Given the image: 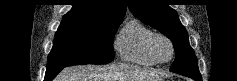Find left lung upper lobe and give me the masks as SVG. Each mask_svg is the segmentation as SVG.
Wrapping results in <instances>:
<instances>
[{
    "mask_svg": "<svg viewBox=\"0 0 237 81\" xmlns=\"http://www.w3.org/2000/svg\"><path fill=\"white\" fill-rule=\"evenodd\" d=\"M128 6L137 18L156 28L173 42L176 59L170 71L184 76L201 77L187 31L174 9L165 4L164 0H128Z\"/></svg>",
    "mask_w": 237,
    "mask_h": 81,
    "instance_id": "left-lung-upper-lobe-1",
    "label": "left lung upper lobe"
}]
</instances>
